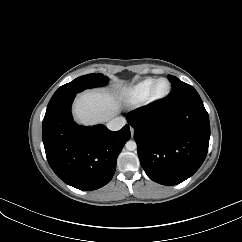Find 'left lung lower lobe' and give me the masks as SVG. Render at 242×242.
Returning <instances> with one entry per match:
<instances>
[{
  "mask_svg": "<svg viewBox=\"0 0 242 242\" xmlns=\"http://www.w3.org/2000/svg\"><path fill=\"white\" fill-rule=\"evenodd\" d=\"M127 121L141 166L153 181L179 184L205 160L210 123L199 95L153 102L128 113Z\"/></svg>",
  "mask_w": 242,
  "mask_h": 242,
  "instance_id": "left-lung-lower-lobe-1",
  "label": "left lung lower lobe"
}]
</instances>
